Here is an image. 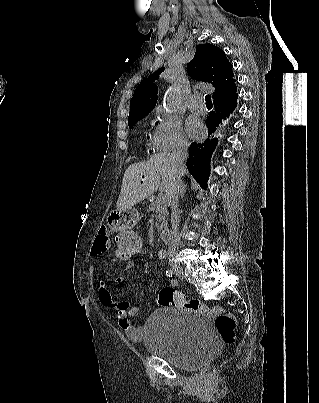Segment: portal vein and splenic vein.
I'll list each match as a JSON object with an SVG mask.
<instances>
[{"instance_id": "portal-vein-and-splenic-vein-1", "label": "portal vein and splenic vein", "mask_w": 319, "mask_h": 403, "mask_svg": "<svg viewBox=\"0 0 319 403\" xmlns=\"http://www.w3.org/2000/svg\"><path fill=\"white\" fill-rule=\"evenodd\" d=\"M161 192H163V191H161ZM161 196H162V198H163L164 194H163V193H161Z\"/></svg>"}]
</instances>
